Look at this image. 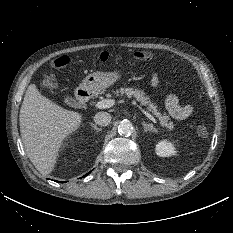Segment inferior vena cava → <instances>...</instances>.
Here are the masks:
<instances>
[{"mask_svg": "<svg viewBox=\"0 0 233 233\" xmlns=\"http://www.w3.org/2000/svg\"><path fill=\"white\" fill-rule=\"evenodd\" d=\"M111 115L107 112H99L95 114L94 121L101 126H107L111 121Z\"/></svg>", "mask_w": 233, "mask_h": 233, "instance_id": "obj_1", "label": "inferior vena cava"}]
</instances>
